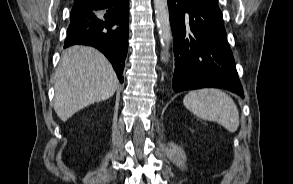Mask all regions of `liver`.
Masks as SVG:
<instances>
[{
    "instance_id": "liver-1",
    "label": "liver",
    "mask_w": 293,
    "mask_h": 184,
    "mask_svg": "<svg viewBox=\"0 0 293 184\" xmlns=\"http://www.w3.org/2000/svg\"><path fill=\"white\" fill-rule=\"evenodd\" d=\"M118 83L111 64L98 50L69 47L55 73L54 110L65 122L81 109L112 97Z\"/></svg>"
}]
</instances>
